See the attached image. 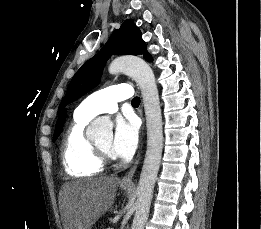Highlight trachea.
Wrapping results in <instances>:
<instances>
[{
  "label": "trachea",
  "instance_id": "1",
  "mask_svg": "<svg viewBox=\"0 0 261 229\" xmlns=\"http://www.w3.org/2000/svg\"><path fill=\"white\" fill-rule=\"evenodd\" d=\"M140 104V98L139 97H134L132 99V105L138 106Z\"/></svg>",
  "mask_w": 261,
  "mask_h": 229
}]
</instances>
